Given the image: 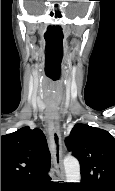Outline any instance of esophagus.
<instances>
[{
	"label": "esophagus",
	"mask_w": 115,
	"mask_h": 191,
	"mask_svg": "<svg viewBox=\"0 0 115 191\" xmlns=\"http://www.w3.org/2000/svg\"><path fill=\"white\" fill-rule=\"evenodd\" d=\"M49 139L51 144L52 164L60 179H64V168L62 163V141L59 129V124L56 120L55 114L49 112L48 120Z\"/></svg>",
	"instance_id": "obj_1"
}]
</instances>
